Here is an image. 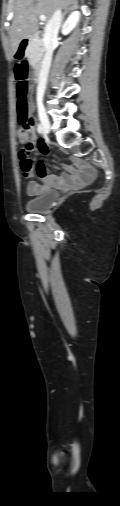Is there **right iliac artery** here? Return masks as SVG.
<instances>
[{
  "label": "right iliac artery",
  "mask_w": 120,
  "mask_h": 506,
  "mask_svg": "<svg viewBox=\"0 0 120 506\" xmlns=\"http://www.w3.org/2000/svg\"><path fill=\"white\" fill-rule=\"evenodd\" d=\"M37 130H38V132H39L40 134H42V133H43V128H42L41 124H38Z\"/></svg>",
  "instance_id": "82829eb1"
}]
</instances>
